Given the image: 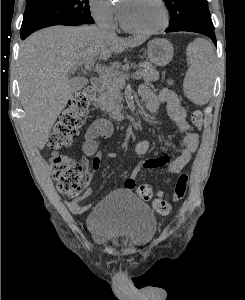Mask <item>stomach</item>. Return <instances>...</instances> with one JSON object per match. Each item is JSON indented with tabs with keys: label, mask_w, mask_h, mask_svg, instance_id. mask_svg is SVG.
<instances>
[{
	"label": "stomach",
	"mask_w": 245,
	"mask_h": 300,
	"mask_svg": "<svg viewBox=\"0 0 245 300\" xmlns=\"http://www.w3.org/2000/svg\"><path fill=\"white\" fill-rule=\"evenodd\" d=\"M147 54L154 65L166 66L173 57L174 49L168 40L158 38L148 43Z\"/></svg>",
	"instance_id": "obj_1"
}]
</instances>
